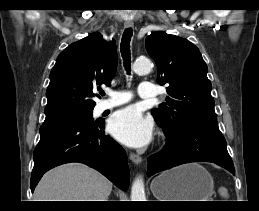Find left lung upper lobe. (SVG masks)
Wrapping results in <instances>:
<instances>
[{
    "mask_svg": "<svg viewBox=\"0 0 259 211\" xmlns=\"http://www.w3.org/2000/svg\"><path fill=\"white\" fill-rule=\"evenodd\" d=\"M146 49L157 64L158 83L169 84L167 102L152 110L165 135H174L188 124L218 128L208 68L199 49L163 31L146 38Z\"/></svg>",
    "mask_w": 259,
    "mask_h": 211,
    "instance_id": "left-lung-upper-lobe-1",
    "label": "left lung upper lobe"
}]
</instances>
